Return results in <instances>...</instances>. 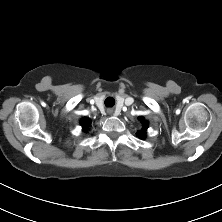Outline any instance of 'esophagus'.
Listing matches in <instances>:
<instances>
[{
    "instance_id": "esophagus-1",
    "label": "esophagus",
    "mask_w": 222,
    "mask_h": 222,
    "mask_svg": "<svg viewBox=\"0 0 222 222\" xmlns=\"http://www.w3.org/2000/svg\"><path fill=\"white\" fill-rule=\"evenodd\" d=\"M113 112V110H108V113L111 114Z\"/></svg>"
}]
</instances>
